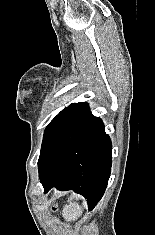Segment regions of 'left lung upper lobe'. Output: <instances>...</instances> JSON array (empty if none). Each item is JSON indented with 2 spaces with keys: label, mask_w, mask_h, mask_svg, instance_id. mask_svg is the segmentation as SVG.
Masks as SVG:
<instances>
[{
  "label": "left lung upper lobe",
  "mask_w": 155,
  "mask_h": 235,
  "mask_svg": "<svg viewBox=\"0 0 155 235\" xmlns=\"http://www.w3.org/2000/svg\"><path fill=\"white\" fill-rule=\"evenodd\" d=\"M91 114L86 103H74L63 109L46 127L38 169L44 165L55 148Z\"/></svg>",
  "instance_id": "left-lung-upper-lobe-1"
}]
</instances>
